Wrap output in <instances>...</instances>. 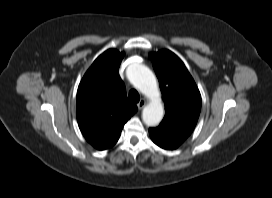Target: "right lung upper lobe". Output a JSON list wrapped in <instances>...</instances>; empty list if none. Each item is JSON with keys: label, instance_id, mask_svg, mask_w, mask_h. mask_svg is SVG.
<instances>
[{"label": "right lung upper lobe", "instance_id": "cb5924a9", "mask_svg": "<svg viewBox=\"0 0 272 198\" xmlns=\"http://www.w3.org/2000/svg\"><path fill=\"white\" fill-rule=\"evenodd\" d=\"M123 57L124 53L115 49L105 51L93 62L78 87V125L86 140L98 150L111 147L137 111V106L128 101L119 76Z\"/></svg>", "mask_w": 272, "mask_h": 198}]
</instances>
